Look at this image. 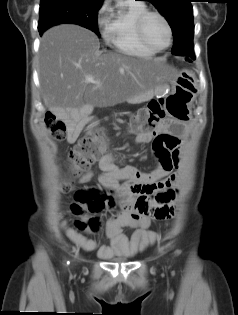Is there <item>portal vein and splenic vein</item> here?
I'll return each mask as SVG.
<instances>
[{
    "mask_svg": "<svg viewBox=\"0 0 238 315\" xmlns=\"http://www.w3.org/2000/svg\"><path fill=\"white\" fill-rule=\"evenodd\" d=\"M86 82H94V77L93 76H87Z\"/></svg>",
    "mask_w": 238,
    "mask_h": 315,
    "instance_id": "obj_1",
    "label": "portal vein and splenic vein"
}]
</instances>
